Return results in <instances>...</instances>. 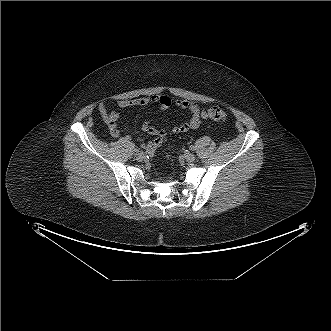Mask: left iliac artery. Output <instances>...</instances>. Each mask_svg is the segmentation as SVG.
<instances>
[{"mask_svg": "<svg viewBox=\"0 0 331 331\" xmlns=\"http://www.w3.org/2000/svg\"><path fill=\"white\" fill-rule=\"evenodd\" d=\"M190 149L191 150H195V147L192 145V146H190Z\"/></svg>", "mask_w": 331, "mask_h": 331, "instance_id": "left-iliac-artery-1", "label": "left iliac artery"}]
</instances>
